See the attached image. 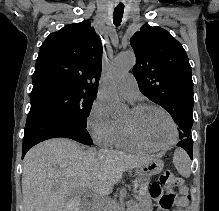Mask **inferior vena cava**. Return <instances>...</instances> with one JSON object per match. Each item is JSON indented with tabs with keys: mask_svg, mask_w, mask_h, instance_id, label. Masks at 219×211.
Masks as SVG:
<instances>
[{
	"mask_svg": "<svg viewBox=\"0 0 219 211\" xmlns=\"http://www.w3.org/2000/svg\"><path fill=\"white\" fill-rule=\"evenodd\" d=\"M102 151H107V149H102ZM84 211H93L92 208H85Z\"/></svg>",
	"mask_w": 219,
	"mask_h": 211,
	"instance_id": "inferior-vena-cava-1",
	"label": "inferior vena cava"
}]
</instances>
